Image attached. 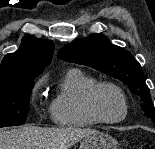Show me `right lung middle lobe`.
I'll return each instance as SVG.
<instances>
[{
    "label": "right lung middle lobe",
    "mask_w": 155,
    "mask_h": 149,
    "mask_svg": "<svg viewBox=\"0 0 155 149\" xmlns=\"http://www.w3.org/2000/svg\"><path fill=\"white\" fill-rule=\"evenodd\" d=\"M35 77L0 79V127L25 123Z\"/></svg>",
    "instance_id": "1"
}]
</instances>
